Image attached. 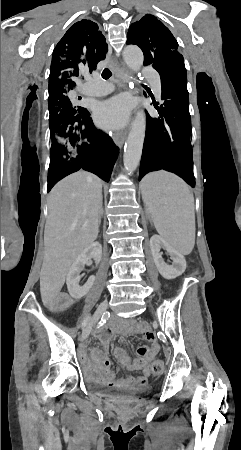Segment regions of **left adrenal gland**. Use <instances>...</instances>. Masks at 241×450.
Here are the masks:
<instances>
[{
    "instance_id": "obj_1",
    "label": "left adrenal gland",
    "mask_w": 241,
    "mask_h": 450,
    "mask_svg": "<svg viewBox=\"0 0 241 450\" xmlns=\"http://www.w3.org/2000/svg\"><path fill=\"white\" fill-rule=\"evenodd\" d=\"M150 224H152V220H150Z\"/></svg>"
}]
</instances>
